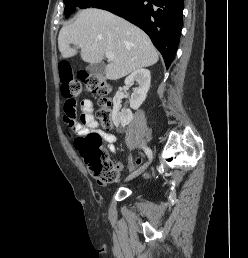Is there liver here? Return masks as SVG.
Wrapping results in <instances>:
<instances>
[{"instance_id": "obj_1", "label": "liver", "mask_w": 248, "mask_h": 258, "mask_svg": "<svg viewBox=\"0 0 248 258\" xmlns=\"http://www.w3.org/2000/svg\"><path fill=\"white\" fill-rule=\"evenodd\" d=\"M83 45L81 58L101 63L107 52L114 60L105 67L106 78L120 79L138 69L157 63L159 56L148 35L128 21L101 9L88 8L77 15L75 22L64 26L58 36L63 58L77 54L70 45Z\"/></svg>"}]
</instances>
